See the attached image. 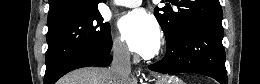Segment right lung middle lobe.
<instances>
[{
	"label": "right lung middle lobe",
	"instance_id": "dd1d6c3e",
	"mask_svg": "<svg viewBox=\"0 0 260 84\" xmlns=\"http://www.w3.org/2000/svg\"><path fill=\"white\" fill-rule=\"evenodd\" d=\"M47 43L46 72H50L63 59L78 52L110 53V25L97 11L48 28Z\"/></svg>",
	"mask_w": 260,
	"mask_h": 84
}]
</instances>
